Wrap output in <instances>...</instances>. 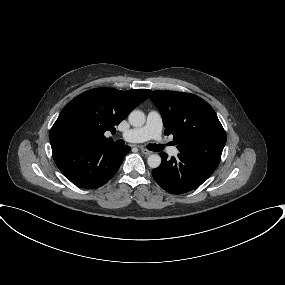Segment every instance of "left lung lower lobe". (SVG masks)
<instances>
[{"label": "left lung lower lobe", "instance_id": "left-lung-lower-lobe-1", "mask_svg": "<svg viewBox=\"0 0 285 285\" xmlns=\"http://www.w3.org/2000/svg\"><path fill=\"white\" fill-rule=\"evenodd\" d=\"M161 165L152 171L155 181L167 192L181 194L191 191L207 180L218 164L195 156L178 154L167 159L168 155L160 153Z\"/></svg>", "mask_w": 285, "mask_h": 285}]
</instances>
